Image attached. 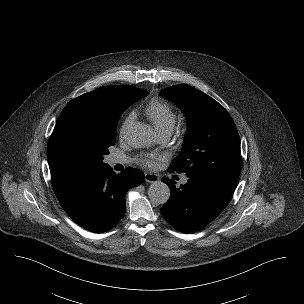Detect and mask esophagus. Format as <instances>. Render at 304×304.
Returning <instances> with one entry per match:
<instances>
[{"label":"esophagus","instance_id":"1","mask_svg":"<svg viewBox=\"0 0 304 304\" xmlns=\"http://www.w3.org/2000/svg\"><path fill=\"white\" fill-rule=\"evenodd\" d=\"M145 180L149 183H156L159 181V177L152 173H145Z\"/></svg>","mask_w":304,"mask_h":304}]
</instances>
